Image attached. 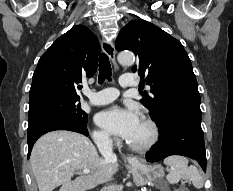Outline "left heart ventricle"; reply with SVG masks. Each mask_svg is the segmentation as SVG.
I'll return each instance as SVG.
<instances>
[{
	"mask_svg": "<svg viewBox=\"0 0 233 191\" xmlns=\"http://www.w3.org/2000/svg\"><path fill=\"white\" fill-rule=\"evenodd\" d=\"M150 137V126L145 121L140 120L138 126L136 127L135 131L128 141L133 144L143 145L149 141Z\"/></svg>",
	"mask_w": 233,
	"mask_h": 191,
	"instance_id": "b2bd125f",
	"label": "left heart ventricle"
}]
</instances>
